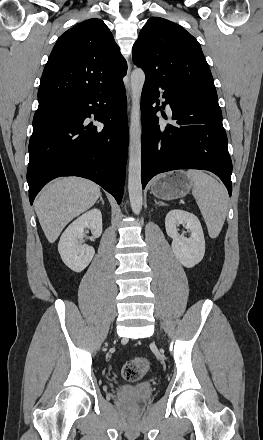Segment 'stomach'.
Segmentation results:
<instances>
[{
  "label": "stomach",
  "instance_id": "stomach-1",
  "mask_svg": "<svg viewBox=\"0 0 263 440\" xmlns=\"http://www.w3.org/2000/svg\"><path fill=\"white\" fill-rule=\"evenodd\" d=\"M193 182L185 171H173L155 178L151 184V193L162 200H172L189 193Z\"/></svg>",
  "mask_w": 263,
  "mask_h": 440
}]
</instances>
